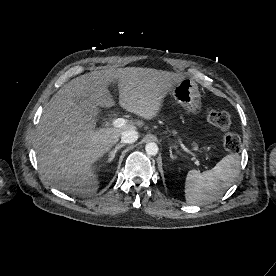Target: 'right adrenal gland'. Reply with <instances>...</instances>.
<instances>
[{"instance_id": "right-adrenal-gland-1", "label": "right adrenal gland", "mask_w": 276, "mask_h": 276, "mask_svg": "<svg viewBox=\"0 0 276 276\" xmlns=\"http://www.w3.org/2000/svg\"><path fill=\"white\" fill-rule=\"evenodd\" d=\"M124 145H125V144H123V143H119V144L115 147L114 150H112V151L109 152V159H108V162H109V163L115 158V155H116L117 151H118L119 149H121Z\"/></svg>"}]
</instances>
